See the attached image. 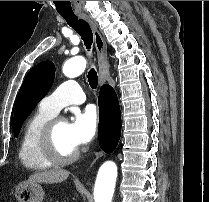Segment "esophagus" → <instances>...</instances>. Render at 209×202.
<instances>
[{
  "mask_svg": "<svg viewBox=\"0 0 209 202\" xmlns=\"http://www.w3.org/2000/svg\"><path fill=\"white\" fill-rule=\"evenodd\" d=\"M79 16L84 19L91 27L93 36H94V43L97 52V59H98V71H99V82L100 84L106 81V78L109 73V65H108V57H107V45L101 36L100 32L98 31L95 23L84 13H80ZM103 155L102 151H99L95 154V158L91 163V166L95 163V161Z\"/></svg>",
  "mask_w": 209,
  "mask_h": 202,
  "instance_id": "esophagus-1",
  "label": "esophagus"
}]
</instances>
